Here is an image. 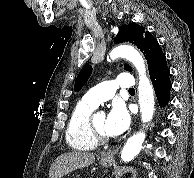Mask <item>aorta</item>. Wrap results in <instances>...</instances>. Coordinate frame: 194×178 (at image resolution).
<instances>
[{
  "label": "aorta",
  "instance_id": "obj_1",
  "mask_svg": "<svg viewBox=\"0 0 194 178\" xmlns=\"http://www.w3.org/2000/svg\"><path fill=\"white\" fill-rule=\"evenodd\" d=\"M109 56L112 60L118 59L119 57L125 58L137 69L139 75L138 95L141 120L143 123L151 121L154 114V91L146 75V65L143 57L134 47L129 45L115 47ZM145 136L144 132H138L127 140L121 151L122 161L129 162L139 154Z\"/></svg>",
  "mask_w": 194,
  "mask_h": 178
}]
</instances>
